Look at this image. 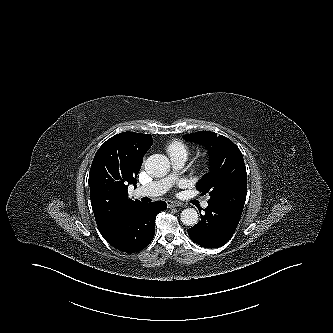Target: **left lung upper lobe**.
Listing matches in <instances>:
<instances>
[{"instance_id":"5c2ea615","label":"left lung upper lobe","mask_w":333,"mask_h":333,"mask_svg":"<svg viewBox=\"0 0 333 333\" xmlns=\"http://www.w3.org/2000/svg\"><path fill=\"white\" fill-rule=\"evenodd\" d=\"M183 137L204 145L210 154V172L199 180L196 189L202 194L209 193L210 202L242 214L247 194V173L239 148L225 136L209 131Z\"/></svg>"}]
</instances>
